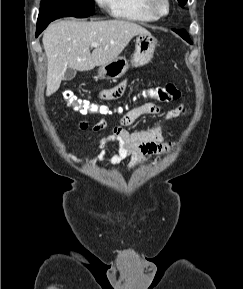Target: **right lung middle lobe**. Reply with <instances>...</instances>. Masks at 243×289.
Returning <instances> with one entry per match:
<instances>
[{
    "label": "right lung middle lobe",
    "instance_id": "right-lung-middle-lobe-1",
    "mask_svg": "<svg viewBox=\"0 0 243 289\" xmlns=\"http://www.w3.org/2000/svg\"><path fill=\"white\" fill-rule=\"evenodd\" d=\"M94 0H42L40 16L62 14L66 17L84 18L94 14Z\"/></svg>",
    "mask_w": 243,
    "mask_h": 289
}]
</instances>
